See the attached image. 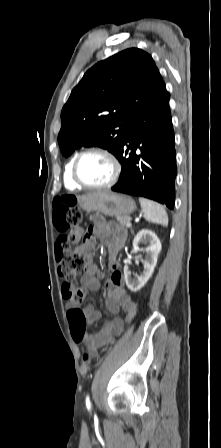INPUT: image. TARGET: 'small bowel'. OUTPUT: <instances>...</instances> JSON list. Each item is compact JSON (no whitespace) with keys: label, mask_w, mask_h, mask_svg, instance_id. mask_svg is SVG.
Segmentation results:
<instances>
[{"label":"small bowel","mask_w":221,"mask_h":448,"mask_svg":"<svg viewBox=\"0 0 221 448\" xmlns=\"http://www.w3.org/2000/svg\"><path fill=\"white\" fill-rule=\"evenodd\" d=\"M80 234L81 230H75ZM101 242L108 248V264L111 275L107 280V296L105 306L107 310L117 316L120 311L126 312V321H130L136 313V304L126 292L123 285V278L118 271L117 254L126 242V236L119 231L112 229L110 224L100 217L94 218V226L91 228L90 237L79 247L80 251L86 254L88 261L81 283L91 292L99 290V282L95 277L97 266L92 263L91 251L97 243ZM89 325L100 319L101 314L95 310L92 304H87L82 310ZM69 313V312H68ZM69 319V316H68ZM70 322V321H69ZM123 320L115 317L107 322L97 334H87L84 337V344L94 356L98 350L113 343L116 336L123 331Z\"/></svg>","instance_id":"1"}]
</instances>
